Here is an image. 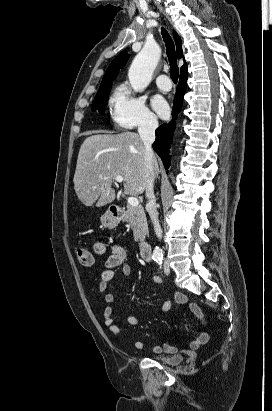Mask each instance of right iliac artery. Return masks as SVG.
I'll return each mask as SVG.
<instances>
[{"label": "right iliac artery", "instance_id": "82829eb1", "mask_svg": "<svg viewBox=\"0 0 272 411\" xmlns=\"http://www.w3.org/2000/svg\"><path fill=\"white\" fill-rule=\"evenodd\" d=\"M163 258L162 257H156L154 260L155 261H161Z\"/></svg>", "mask_w": 272, "mask_h": 411}]
</instances>
